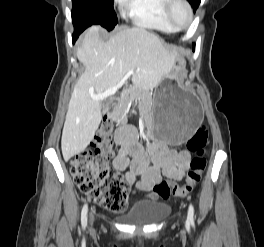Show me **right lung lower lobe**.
I'll return each mask as SVG.
<instances>
[{
    "mask_svg": "<svg viewBox=\"0 0 264 247\" xmlns=\"http://www.w3.org/2000/svg\"><path fill=\"white\" fill-rule=\"evenodd\" d=\"M74 28H75V31H74V34L72 35V40H73V42L78 38L79 34H80L81 32H83V30H79V29H77L76 27H74Z\"/></svg>",
    "mask_w": 264,
    "mask_h": 247,
    "instance_id": "right-lung-lower-lobe-1",
    "label": "right lung lower lobe"
}]
</instances>
